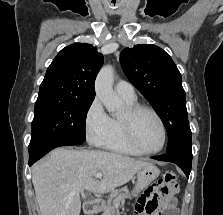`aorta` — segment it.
<instances>
[{
  "instance_id": "1",
  "label": "aorta",
  "mask_w": 223,
  "mask_h": 215,
  "mask_svg": "<svg viewBox=\"0 0 223 215\" xmlns=\"http://www.w3.org/2000/svg\"><path fill=\"white\" fill-rule=\"evenodd\" d=\"M114 70L112 66H103L95 82V92L97 98L101 100L105 108L111 113H118L122 104L118 96L113 92Z\"/></svg>"
}]
</instances>
